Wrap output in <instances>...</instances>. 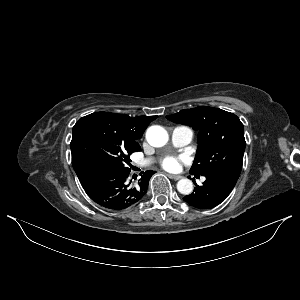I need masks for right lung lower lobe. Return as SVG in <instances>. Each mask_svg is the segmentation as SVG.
Listing matches in <instances>:
<instances>
[{
	"mask_svg": "<svg viewBox=\"0 0 300 300\" xmlns=\"http://www.w3.org/2000/svg\"><path fill=\"white\" fill-rule=\"evenodd\" d=\"M154 171L140 173L134 184L131 169L121 170L112 164L100 163L77 173L86 194L97 204L111 210H122L137 203L146 194Z\"/></svg>",
	"mask_w": 300,
	"mask_h": 300,
	"instance_id": "obj_1",
	"label": "right lung lower lobe"
}]
</instances>
